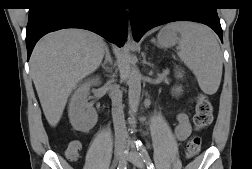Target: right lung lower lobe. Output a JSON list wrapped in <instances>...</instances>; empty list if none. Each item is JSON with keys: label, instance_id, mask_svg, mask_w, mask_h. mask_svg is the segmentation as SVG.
<instances>
[{"label": "right lung lower lobe", "instance_id": "98d812e1", "mask_svg": "<svg viewBox=\"0 0 252 169\" xmlns=\"http://www.w3.org/2000/svg\"><path fill=\"white\" fill-rule=\"evenodd\" d=\"M62 28L87 29L121 47L126 12L120 0H36L26 28L28 60L43 35Z\"/></svg>", "mask_w": 252, "mask_h": 169}]
</instances>
